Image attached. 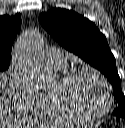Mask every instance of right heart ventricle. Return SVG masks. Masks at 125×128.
Listing matches in <instances>:
<instances>
[{"mask_svg": "<svg viewBox=\"0 0 125 128\" xmlns=\"http://www.w3.org/2000/svg\"><path fill=\"white\" fill-rule=\"evenodd\" d=\"M49 69L58 81L67 72L66 64L62 66H49ZM30 111L37 119L51 123H79V121L71 118L68 113L60 106L55 94V87L39 92Z\"/></svg>", "mask_w": 125, "mask_h": 128, "instance_id": "obj_1", "label": "right heart ventricle"}]
</instances>
